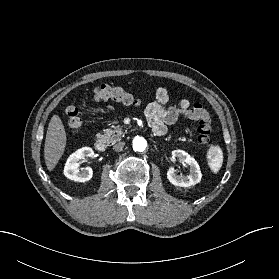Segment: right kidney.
Segmentation results:
<instances>
[{"label":"right kidney","instance_id":"right-kidney-1","mask_svg":"<svg viewBox=\"0 0 279 279\" xmlns=\"http://www.w3.org/2000/svg\"><path fill=\"white\" fill-rule=\"evenodd\" d=\"M94 151L90 147H83L72 153L65 164L64 175L76 182L89 181L93 176V170L90 167H85L79 170V161L85 157H93Z\"/></svg>","mask_w":279,"mask_h":279}]
</instances>
